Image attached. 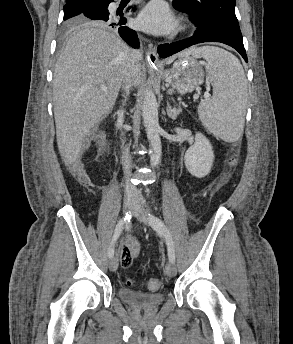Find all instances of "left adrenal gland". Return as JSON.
<instances>
[{"mask_svg": "<svg viewBox=\"0 0 293 344\" xmlns=\"http://www.w3.org/2000/svg\"><path fill=\"white\" fill-rule=\"evenodd\" d=\"M181 111L182 110L180 107L179 108H176V107L172 108L169 103L167 104V113H168L169 118H172L173 120H175L177 118V116L181 113Z\"/></svg>", "mask_w": 293, "mask_h": 344, "instance_id": "a2214340", "label": "left adrenal gland"}]
</instances>
